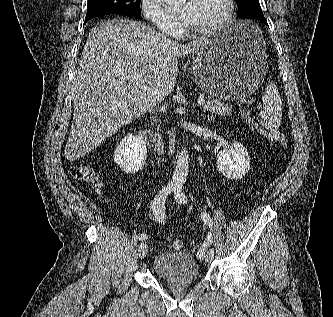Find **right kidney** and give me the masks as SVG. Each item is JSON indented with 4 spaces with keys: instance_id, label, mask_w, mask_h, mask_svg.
<instances>
[{
    "instance_id": "1",
    "label": "right kidney",
    "mask_w": 333,
    "mask_h": 317,
    "mask_svg": "<svg viewBox=\"0 0 333 317\" xmlns=\"http://www.w3.org/2000/svg\"><path fill=\"white\" fill-rule=\"evenodd\" d=\"M146 143L141 137L129 133L125 136L114 152L115 163L127 174L141 170L146 161Z\"/></svg>"
}]
</instances>
